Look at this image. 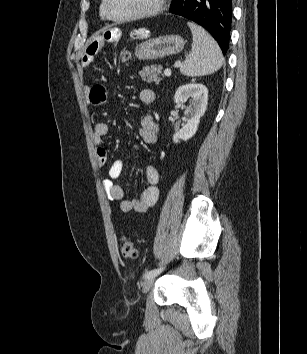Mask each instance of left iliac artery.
<instances>
[{
  "instance_id": "obj_1",
  "label": "left iliac artery",
  "mask_w": 307,
  "mask_h": 354,
  "mask_svg": "<svg viewBox=\"0 0 307 354\" xmlns=\"http://www.w3.org/2000/svg\"><path fill=\"white\" fill-rule=\"evenodd\" d=\"M164 267L162 268H158V269H152L148 272L145 273V278H150V277H153V276H156L157 274L161 273L163 271Z\"/></svg>"
}]
</instances>
